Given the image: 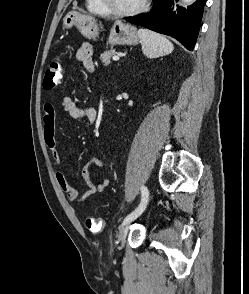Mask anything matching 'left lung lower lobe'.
Segmentation results:
<instances>
[{
  "instance_id": "left-lung-lower-lobe-1",
  "label": "left lung lower lobe",
  "mask_w": 249,
  "mask_h": 294,
  "mask_svg": "<svg viewBox=\"0 0 249 294\" xmlns=\"http://www.w3.org/2000/svg\"><path fill=\"white\" fill-rule=\"evenodd\" d=\"M151 11L141 16L127 17L132 22L161 34L176 38L188 50H193L198 36L204 4L206 0H197L187 9L173 10L174 0H153Z\"/></svg>"
}]
</instances>
